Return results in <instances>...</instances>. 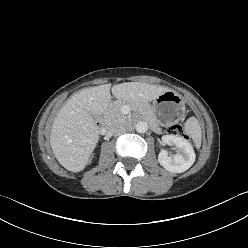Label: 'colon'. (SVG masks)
<instances>
[{
  "mask_svg": "<svg viewBox=\"0 0 248 248\" xmlns=\"http://www.w3.org/2000/svg\"><path fill=\"white\" fill-rule=\"evenodd\" d=\"M169 132L175 135L183 134V127L181 123H175L168 128Z\"/></svg>",
  "mask_w": 248,
  "mask_h": 248,
  "instance_id": "colon-1",
  "label": "colon"
}]
</instances>
